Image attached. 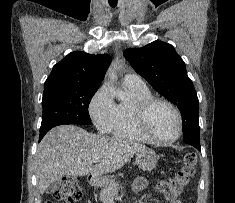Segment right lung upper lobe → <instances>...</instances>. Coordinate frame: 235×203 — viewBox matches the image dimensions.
Here are the masks:
<instances>
[{
	"mask_svg": "<svg viewBox=\"0 0 235 203\" xmlns=\"http://www.w3.org/2000/svg\"><path fill=\"white\" fill-rule=\"evenodd\" d=\"M110 63L111 57L107 54L72 52L53 66L44 88L67 84L99 86Z\"/></svg>",
	"mask_w": 235,
	"mask_h": 203,
	"instance_id": "right-lung-upper-lobe-1",
	"label": "right lung upper lobe"
}]
</instances>
